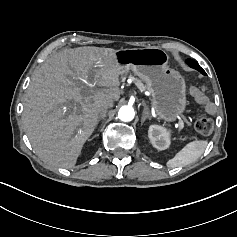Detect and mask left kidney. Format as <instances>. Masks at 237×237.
<instances>
[{
	"instance_id": "5707ae66",
	"label": "left kidney",
	"mask_w": 237,
	"mask_h": 237,
	"mask_svg": "<svg viewBox=\"0 0 237 237\" xmlns=\"http://www.w3.org/2000/svg\"><path fill=\"white\" fill-rule=\"evenodd\" d=\"M148 135L152 146L157 150H164L169 146V135L164 128L152 125Z\"/></svg>"
}]
</instances>
